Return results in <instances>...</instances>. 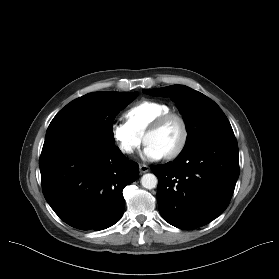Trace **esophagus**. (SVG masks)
Listing matches in <instances>:
<instances>
[{"mask_svg":"<svg viewBox=\"0 0 279 279\" xmlns=\"http://www.w3.org/2000/svg\"><path fill=\"white\" fill-rule=\"evenodd\" d=\"M139 169H140L141 173H146V172H149V170H150V168L145 164H141Z\"/></svg>","mask_w":279,"mask_h":279,"instance_id":"34e87169","label":"esophagus"}]
</instances>
